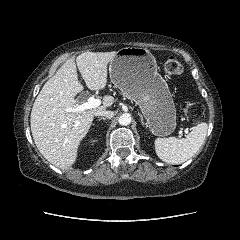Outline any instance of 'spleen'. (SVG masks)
<instances>
[{"label":"spleen","mask_w":240,"mask_h":240,"mask_svg":"<svg viewBox=\"0 0 240 240\" xmlns=\"http://www.w3.org/2000/svg\"><path fill=\"white\" fill-rule=\"evenodd\" d=\"M207 129L208 124L202 122L193 127L186 138H157L154 143L157 156L170 164H181L187 161L196 154L204 143Z\"/></svg>","instance_id":"spleen-1"}]
</instances>
